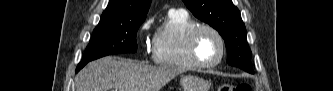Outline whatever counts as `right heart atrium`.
Listing matches in <instances>:
<instances>
[{
    "label": "right heart atrium",
    "instance_id": "right-heart-atrium-1",
    "mask_svg": "<svg viewBox=\"0 0 333 91\" xmlns=\"http://www.w3.org/2000/svg\"><path fill=\"white\" fill-rule=\"evenodd\" d=\"M150 26H151V21L150 20L144 21L139 27V30H138L139 33L142 34V33L147 32L149 30Z\"/></svg>",
    "mask_w": 333,
    "mask_h": 91
}]
</instances>
